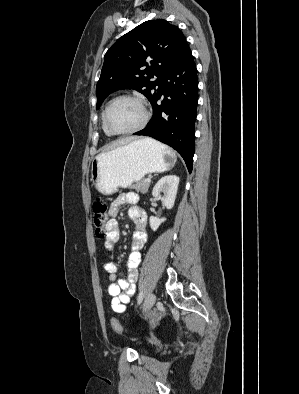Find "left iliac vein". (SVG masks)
<instances>
[{"mask_svg":"<svg viewBox=\"0 0 299 394\" xmlns=\"http://www.w3.org/2000/svg\"><path fill=\"white\" fill-rule=\"evenodd\" d=\"M156 302V296L153 293L148 294V296L145 299V302L143 304L142 312L143 314L147 313L150 311V309L154 306Z\"/></svg>","mask_w":299,"mask_h":394,"instance_id":"obj_1","label":"left iliac vein"}]
</instances>
